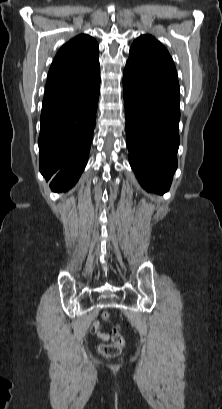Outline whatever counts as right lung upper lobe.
<instances>
[{"label":"right lung upper lobe","mask_w":222,"mask_h":409,"mask_svg":"<svg viewBox=\"0 0 222 409\" xmlns=\"http://www.w3.org/2000/svg\"><path fill=\"white\" fill-rule=\"evenodd\" d=\"M98 56V43L89 35H78L64 44L49 69L44 98L83 90L87 78L100 71Z\"/></svg>","instance_id":"obj_1"}]
</instances>
